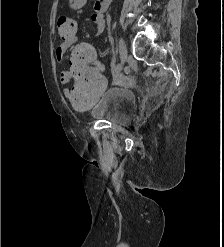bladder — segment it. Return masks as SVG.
<instances>
[{"mask_svg": "<svg viewBox=\"0 0 224 247\" xmlns=\"http://www.w3.org/2000/svg\"><path fill=\"white\" fill-rule=\"evenodd\" d=\"M89 115L96 120L121 126L129 125L136 115L135 93L125 86H112L90 108Z\"/></svg>", "mask_w": 224, "mask_h": 247, "instance_id": "31cf9c89", "label": "bladder"}]
</instances>
